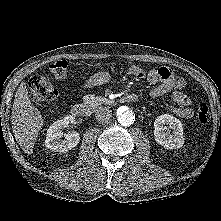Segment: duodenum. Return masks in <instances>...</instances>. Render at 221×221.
I'll use <instances>...</instances> for the list:
<instances>
[{
  "instance_id": "duodenum-1",
  "label": "duodenum",
  "mask_w": 221,
  "mask_h": 221,
  "mask_svg": "<svg viewBox=\"0 0 221 221\" xmlns=\"http://www.w3.org/2000/svg\"><path fill=\"white\" fill-rule=\"evenodd\" d=\"M127 102H137L138 96L136 94H129L123 97ZM72 113L77 117H88L91 113V105L88 103L76 104L72 107Z\"/></svg>"
}]
</instances>
